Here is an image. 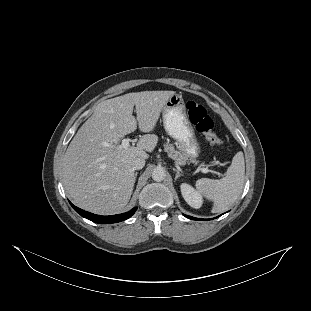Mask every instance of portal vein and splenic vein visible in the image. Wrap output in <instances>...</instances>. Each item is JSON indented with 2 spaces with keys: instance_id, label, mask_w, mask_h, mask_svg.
I'll return each mask as SVG.
<instances>
[{
  "instance_id": "1",
  "label": "portal vein and splenic vein",
  "mask_w": 311,
  "mask_h": 311,
  "mask_svg": "<svg viewBox=\"0 0 311 311\" xmlns=\"http://www.w3.org/2000/svg\"><path fill=\"white\" fill-rule=\"evenodd\" d=\"M120 146L123 149H127L128 147H130V139L129 138L123 139ZM197 170L205 174L211 172V170H209L208 168H202V167H198Z\"/></svg>"
}]
</instances>
